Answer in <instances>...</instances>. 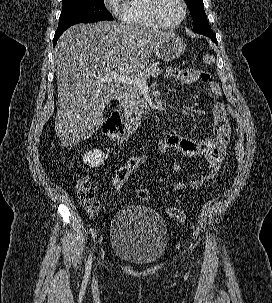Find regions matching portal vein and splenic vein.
<instances>
[{"label":"portal vein and splenic vein","mask_w":272,"mask_h":303,"mask_svg":"<svg viewBox=\"0 0 272 303\" xmlns=\"http://www.w3.org/2000/svg\"><path fill=\"white\" fill-rule=\"evenodd\" d=\"M145 78H139L136 76L130 75H121V74H110L99 80L100 83L108 82V83H118L124 85H137L139 87L146 86Z\"/></svg>","instance_id":"portal-vein-and-splenic-vein-1"}]
</instances>
